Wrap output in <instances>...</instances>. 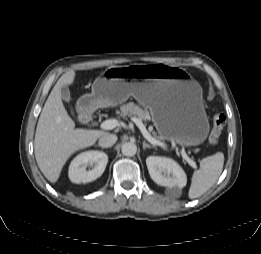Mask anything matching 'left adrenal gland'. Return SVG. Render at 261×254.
Wrapping results in <instances>:
<instances>
[{"instance_id":"left-adrenal-gland-1","label":"left adrenal gland","mask_w":261,"mask_h":254,"mask_svg":"<svg viewBox=\"0 0 261 254\" xmlns=\"http://www.w3.org/2000/svg\"><path fill=\"white\" fill-rule=\"evenodd\" d=\"M147 148H155V147L149 145L148 143H146V141H143V150H145V149H147Z\"/></svg>"}]
</instances>
